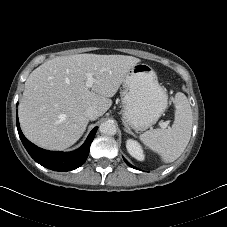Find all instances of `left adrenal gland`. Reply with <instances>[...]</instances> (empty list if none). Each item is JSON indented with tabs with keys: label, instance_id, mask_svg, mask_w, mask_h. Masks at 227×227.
I'll list each match as a JSON object with an SVG mask.
<instances>
[{
	"label": "left adrenal gland",
	"instance_id": "1",
	"mask_svg": "<svg viewBox=\"0 0 227 227\" xmlns=\"http://www.w3.org/2000/svg\"><path fill=\"white\" fill-rule=\"evenodd\" d=\"M124 126H125V129H124V130H125L127 133L134 135V133L131 131V129L129 128V126H128L127 124H124Z\"/></svg>",
	"mask_w": 227,
	"mask_h": 227
}]
</instances>
